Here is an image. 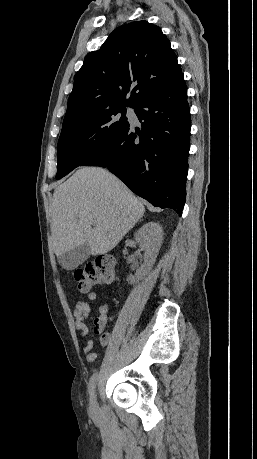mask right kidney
Returning <instances> with one entry per match:
<instances>
[{
	"instance_id": "1",
	"label": "right kidney",
	"mask_w": 257,
	"mask_h": 459,
	"mask_svg": "<svg viewBox=\"0 0 257 459\" xmlns=\"http://www.w3.org/2000/svg\"><path fill=\"white\" fill-rule=\"evenodd\" d=\"M135 241L139 244L141 250L145 252L144 264L142 269L136 271V276H128L127 281L130 284H133L135 279H141L152 269L163 241L162 226L156 222L144 224L136 232Z\"/></svg>"
}]
</instances>
